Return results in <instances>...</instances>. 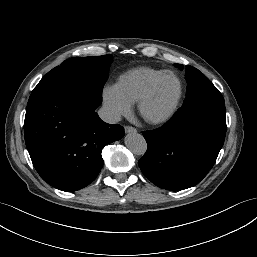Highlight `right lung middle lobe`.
I'll return each instance as SVG.
<instances>
[{"instance_id":"1","label":"right lung middle lobe","mask_w":257,"mask_h":257,"mask_svg":"<svg viewBox=\"0 0 257 257\" xmlns=\"http://www.w3.org/2000/svg\"><path fill=\"white\" fill-rule=\"evenodd\" d=\"M112 55L95 57H73L49 71L34 88L32 93L46 91L73 84L83 85L102 98V90L108 79Z\"/></svg>"}]
</instances>
